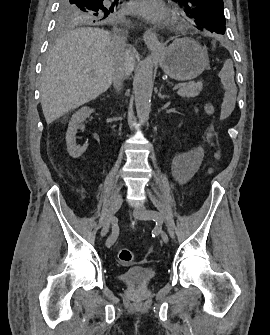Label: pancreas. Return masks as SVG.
Segmentation results:
<instances>
[{"label": "pancreas", "instance_id": "1", "mask_svg": "<svg viewBox=\"0 0 270 335\" xmlns=\"http://www.w3.org/2000/svg\"><path fill=\"white\" fill-rule=\"evenodd\" d=\"M202 88V82H188V84L180 85L178 96H182V98H195V96H199Z\"/></svg>", "mask_w": 270, "mask_h": 335}]
</instances>
